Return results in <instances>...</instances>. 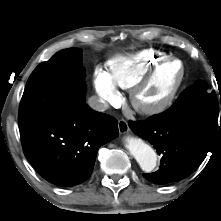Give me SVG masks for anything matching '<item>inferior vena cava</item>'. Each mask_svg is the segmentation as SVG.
Returning <instances> with one entry per match:
<instances>
[{
    "mask_svg": "<svg viewBox=\"0 0 221 221\" xmlns=\"http://www.w3.org/2000/svg\"><path fill=\"white\" fill-rule=\"evenodd\" d=\"M88 105L96 111L104 112L109 108V105L107 102H105L103 99L97 97V96H91L88 99Z\"/></svg>",
    "mask_w": 221,
    "mask_h": 221,
    "instance_id": "inferior-vena-cava-1",
    "label": "inferior vena cava"
}]
</instances>
